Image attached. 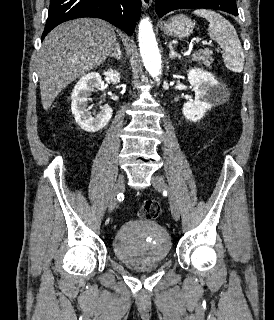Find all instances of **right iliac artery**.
Masks as SVG:
<instances>
[{
	"mask_svg": "<svg viewBox=\"0 0 274 320\" xmlns=\"http://www.w3.org/2000/svg\"><path fill=\"white\" fill-rule=\"evenodd\" d=\"M117 199H118L119 201L123 200V199H124V195H123L122 193H119V194L117 195Z\"/></svg>",
	"mask_w": 274,
	"mask_h": 320,
	"instance_id": "obj_1",
	"label": "right iliac artery"
}]
</instances>
